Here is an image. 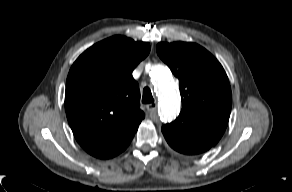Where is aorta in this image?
I'll return each instance as SVG.
<instances>
[{
  "mask_svg": "<svg viewBox=\"0 0 292 192\" xmlns=\"http://www.w3.org/2000/svg\"><path fill=\"white\" fill-rule=\"evenodd\" d=\"M150 78L160 100V119L166 122L175 119L180 111L181 100L170 70L162 64H156L150 71Z\"/></svg>",
  "mask_w": 292,
  "mask_h": 192,
  "instance_id": "aorta-1",
  "label": "aorta"
}]
</instances>
